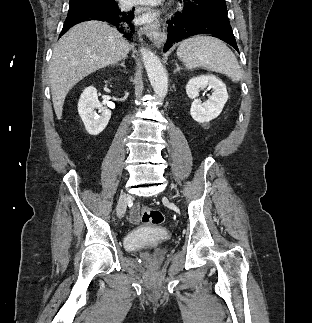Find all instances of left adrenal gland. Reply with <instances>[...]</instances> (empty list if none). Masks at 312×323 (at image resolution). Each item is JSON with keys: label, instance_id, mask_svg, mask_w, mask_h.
Masks as SVG:
<instances>
[{"label": "left adrenal gland", "instance_id": "1", "mask_svg": "<svg viewBox=\"0 0 312 323\" xmlns=\"http://www.w3.org/2000/svg\"><path fill=\"white\" fill-rule=\"evenodd\" d=\"M176 66V70H174V72H180L181 68H179L178 64H175Z\"/></svg>", "mask_w": 312, "mask_h": 323}]
</instances>
